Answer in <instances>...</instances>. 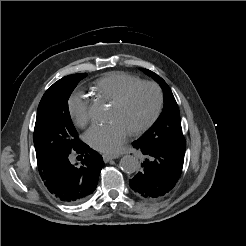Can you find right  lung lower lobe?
Returning a JSON list of instances; mask_svg holds the SVG:
<instances>
[{
    "mask_svg": "<svg viewBox=\"0 0 246 246\" xmlns=\"http://www.w3.org/2000/svg\"><path fill=\"white\" fill-rule=\"evenodd\" d=\"M74 152L79 154L81 166L70 162V153L38 163L47 189L67 204L81 203L94 192L104 165L102 156L83 142Z\"/></svg>",
    "mask_w": 246,
    "mask_h": 246,
    "instance_id": "1",
    "label": "right lung lower lobe"
}]
</instances>
